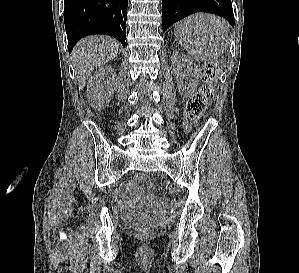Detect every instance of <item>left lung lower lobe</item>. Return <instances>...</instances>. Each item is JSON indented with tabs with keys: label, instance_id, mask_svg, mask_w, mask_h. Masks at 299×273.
<instances>
[{
	"label": "left lung lower lobe",
	"instance_id": "1",
	"mask_svg": "<svg viewBox=\"0 0 299 273\" xmlns=\"http://www.w3.org/2000/svg\"><path fill=\"white\" fill-rule=\"evenodd\" d=\"M196 12L222 16L234 26L231 0H162L163 32L175 22Z\"/></svg>",
	"mask_w": 299,
	"mask_h": 273
}]
</instances>
